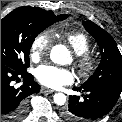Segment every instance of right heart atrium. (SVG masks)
Segmentation results:
<instances>
[{
    "label": "right heart atrium",
    "instance_id": "d8ad5b80",
    "mask_svg": "<svg viewBox=\"0 0 122 122\" xmlns=\"http://www.w3.org/2000/svg\"><path fill=\"white\" fill-rule=\"evenodd\" d=\"M51 43L52 38L48 31L37 35L31 44V58L34 61L40 60L49 51Z\"/></svg>",
    "mask_w": 122,
    "mask_h": 122
}]
</instances>
